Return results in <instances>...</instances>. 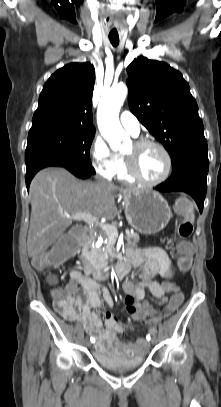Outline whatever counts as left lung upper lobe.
<instances>
[{
    "label": "left lung upper lobe",
    "mask_w": 221,
    "mask_h": 407,
    "mask_svg": "<svg viewBox=\"0 0 221 407\" xmlns=\"http://www.w3.org/2000/svg\"><path fill=\"white\" fill-rule=\"evenodd\" d=\"M127 73L129 108L164 145L172 165L190 150L207 148L197 103L179 71L165 62L138 57Z\"/></svg>",
    "instance_id": "5c2ea615"
}]
</instances>
